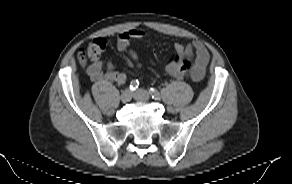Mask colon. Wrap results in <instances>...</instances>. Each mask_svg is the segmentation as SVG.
I'll return each mask as SVG.
<instances>
[{
	"label": "colon",
	"mask_w": 292,
	"mask_h": 184,
	"mask_svg": "<svg viewBox=\"0 0 292 184\" xmlns=\"http://www.w3.org/2000/svg\"><path fill=\"white\" fill-rule=\"evenodd\" d=\"M106 47L107 40L105 38H95L89 43L87 49L79 51L78 59L82 64H86L89 59L96 60ZM168 65L176 66L181 77L186 76L192 70V62L177 52L168 60Z\"/></svg>",
	"instance_id": "5ec220e1"
}]
</instances>
